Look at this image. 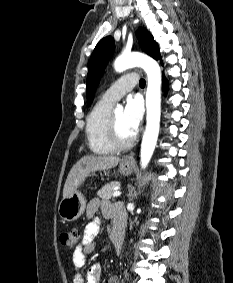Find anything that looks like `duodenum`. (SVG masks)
<instances>
[{"label":"duodenum","mask_w":233,"mask_h":283,"mask_svg":"<svg viewBox=\"0 0 233 283\" xmlns=\"http://www.w3.org/2000/svg\"><path fill=\"white\" fill-rule=\"evenodd\" d=\"M123 240H124V225L122 223H118L112 233V243L116 254L121 253Z\"/></svg>","instance_id":"obj_1"}]
</instances>
